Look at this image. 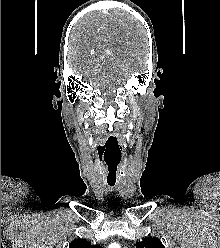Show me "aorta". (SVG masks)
I'll return each instance as SVG.
<instances>
[{
  "label": "aorta",
  "instance_id": "762f6f07",
  "mask_svg": "<svg viewBox=\"0 0 220 248\" xmlns=\"http://www.w3.org/2000/svg\"><path fill=\"white\" fill-rule=\"evenodd\" d=\"M108 248H120V246L116 243H113V244L109 245Z\"/></svg>",
  "mask_w": 220,
  "mask_h": 248
}]
</instances>
